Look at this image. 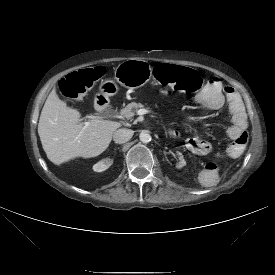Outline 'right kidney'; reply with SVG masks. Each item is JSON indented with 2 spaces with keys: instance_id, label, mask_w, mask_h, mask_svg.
Returning <instances> with one entry per match:
<instances>
[{
  "instance_id": "1",
  "label": "right kidney",
  "mask_w": 275,
  "mask_h": 275,
  "mask_svg": "<svg viewBox=\"0 0 275 275\" xmlns=\"http://www.w3.org/2000/svg\"><path fill=\"white\" fill-rule=\"evenodd\" d=\"M112 165V160L110 158H105L103 161H99L93 166L95 172H102L108 169Z\"/></svg>"
}]
</instances>
